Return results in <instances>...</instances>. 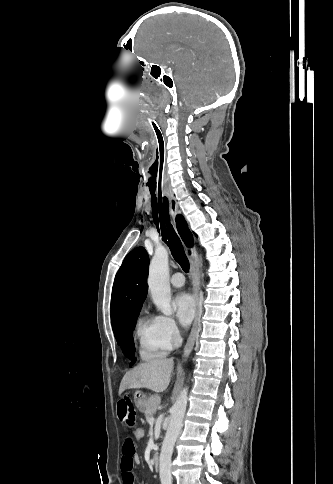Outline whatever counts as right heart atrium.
Wrapping results in <instances>:
<instances>
[{"label": "right heart atrium", "mask_w": 333, "mask_h": 484, "mask_svg": "<svg viewBox=\"0 0 333 484\" xmlns=\"http://www.w3.org/2000/svg\"><path fill=\"white\" fill-rule=\"evenodd\" d=\"M161 341L164 347L169 350L175 347L180 338V332L175 320L170 316L159 315L156 317Z\"/></svg>", "instance_id": "1"}]
</instances>
